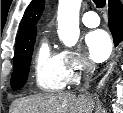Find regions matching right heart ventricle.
<instances>
[{
  "mask_svg": "<svg viewBox=\"0 0 123 113\" xmlns=\"http://www.w3.org/2000/svg\"><path fill=\"white\" fill-rule=\"evenodd\" d=\"M34 72L37 87L44 91H59L66 85L60 53L52 51L47 41H43L38 48Z\"/></svg>",
  "mask_w": 123,
  "mask_h": 113,
  "instance_id": "1",
  "label": "right heart ventricle"
}]
</instances>
